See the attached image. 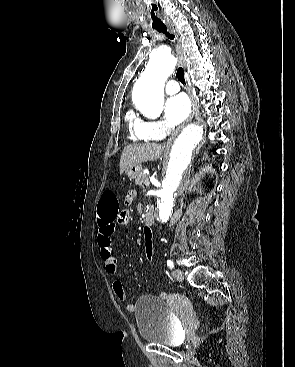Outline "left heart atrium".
<instances>
[{
	"mask_svg": "<svg viewBox=\"0 0 295 367\" xmlns=\"http://www.w3.org/2000/svg\"><path fill=\"white\" fill-rule=\"evenodd\" d=\"M190 112V102L184 94L169 98L165 104V118L174 126L182 122Z\"/></svg>",
	"mask_w": 295,
	"mask_h": 367,
	"instance_id": "obj_1",
	"label": "left heart atrium"
}]
</instances>
